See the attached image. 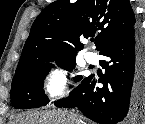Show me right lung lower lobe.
<instances>
[{
  "label": "right lung lower lobe",
  "instance_id": "98d812e1",
  "mask_svg": "<svg viewBox=\"0 0 145 124\" xmlns=\"http://www.w3.org/2000/svg\"><path fill=\"white\" fill-rule=\"evenodd\" d=\"M100 54L108 57L101 62L105 74L84 78L70 97L55 102V106L78 107L100 124L138 119L145 109V35L135 25L107 42ZM98 83L103 88L97 87Z\"/></svg>",
  "mask_w": 145,
  "mask_h": 124
}]
</instances>
